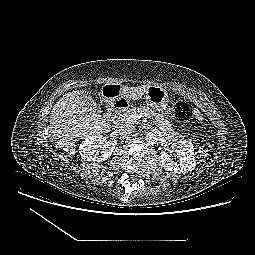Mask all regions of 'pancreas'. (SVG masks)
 I'll list each match as a JSON object with an SVG mask.
<instances>
[{"label":"pancreas","mask_w":255,"mask_h":255,"mask_svg":"<svg viewBox=\"0 0 255 255\" xmlns=\"http://www.w3.org/2000/svg\"><path fill=\"white\" fill-rule=\"evenodd\" d=\"M148 114L152 117H154L155 119V124L156 126L162 131L163 136H165V138L169 141V142H178V140L180 141H185V138L182 134H179L177 132L174 131L172 124L164 118L163 115L156 113L154 110H152L149 107H133L129 110H127L124 114H122L121 116V121L124 124H130V122H128L126 119L128 116L130 115H135V114Z\"/></svg>","instance_id":"pancreas-1"}]
</instances>
